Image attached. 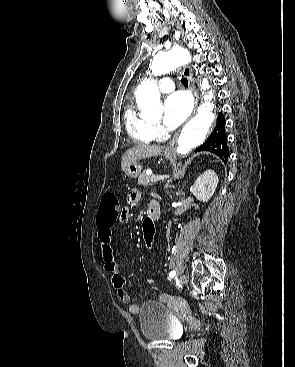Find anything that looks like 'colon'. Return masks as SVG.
Listing matches in <instances>:
<instances>
[{"mask_svg": "<svg viewBox=\"0 0 295 367\" xmlns=\"http://www.w3.org/2000/svg\"><path fill=\"white\" fill-rule=\"evenodd\" d=\"M121 209L116 195L106 193L100 204L97 221L104 224L113 223L118 220ZM140 229L143 230L144 245L147 247L154 246L157 230L153 219H142Z\"/></svg>", "mask_w": 295, "mask_h": 367, "instance_id": "obj_1", "label": "colon"}]
</instances>
